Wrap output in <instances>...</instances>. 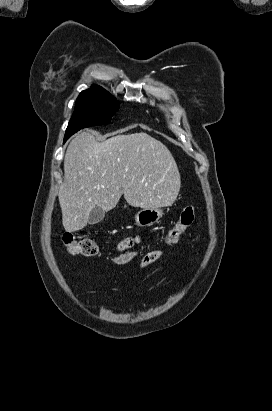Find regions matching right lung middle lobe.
I'll list each match as a JSON object with an SVG mask.
<instances>
[{
	"label": "right lung middle lobe",
	"mask_w": 272,
	"mask_h": 411,
	"mask_svg": "<svg viewBox=\"0 0 272 411\" xmlns=\"http://www.w3.org/2000/svg\"><path fill=\"white\" fill-rule=\"evenodd\" d=\"M118 109L119 102L105 90L81 93L64 138L68 139L82 128L110 122Z\"/></svg>",
	"instance_id": "1"
}]
</instances>
